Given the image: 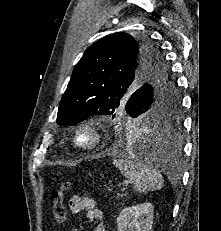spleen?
Wrapping results in <instances>:
<instances>
[{"instance_id": "1", "label": "spleen", "mask_w": 221, "mask_h": 231, "mask_svg": "<svg viewBox=\"0 0 221 231\" xmlns=\"http://www.w3.org/2000/svg\"><path fill=\"white\" fill-rule=\"evenodd\" d=\"M116 166L126 178L133 181L136 192L146 193L160 190L163 187V178L160 172L147 161H141L134 155L113 160Z\"/></svg>"}]
</instances>
